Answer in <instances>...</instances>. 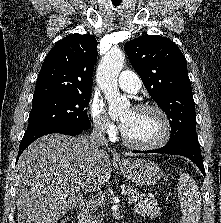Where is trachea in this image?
<instances>
[{"label": "trachea", "instance_id": "obj_1", "mask_svg": "<svg viewBox=\"0 0 221 223\" xmlns=\"http://www.w3.org/2000/svg\"><path fill=\"white\" fill-rule=\"evenodd\" d=\"M121 1L122 0H112V4H113L114 7H117V6L120 5Z\"/></svg>", "mask_w": 221, "mask_h": 223}]
</instances>
